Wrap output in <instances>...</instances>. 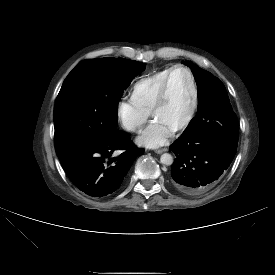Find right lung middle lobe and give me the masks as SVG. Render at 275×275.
I'll use <instances>...</instances> for the list:
<instances>
[{
  "label": "right lung middle lobe",
  "mask_w": 275,
  "mask_h": 275,
  "mask_svg": "<svg viewBox=\"0 0 275 275\" xmlns=\"http://www.w3.org/2000/svg\"><path fill=\"white\" fill-rule=\"evenodd\" d=\"M145 67L123 58L80 62L64 80L56 99V153L117 131L119 98Z\"/></svg>",
  "instance_id": "obj_1"
}]
</instances>
